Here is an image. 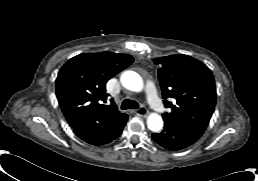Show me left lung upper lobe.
Instances as JSON below:
<instances>
[{"label":"left lung upper lobe","instance_id":"1","mask_svg":"<svg viewBox=\"0 0 258 181\" xmlns=\"http://www.w3.org/2000/svg\"><path fill=\"white\" fill-rule=\"evenodd\" d=\"M160 64L159 81L164 105L165 122L183 124L197 130L206 129L216 103L215 81L210 69L187 55H171L155 59ZM173 98L170 102L167 99Z\"/></svg>","mask_w":258,"mask_h":181}]
</instances>
